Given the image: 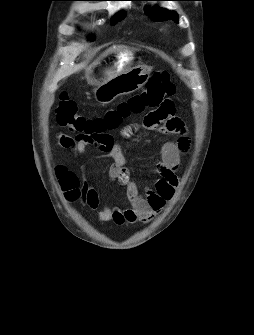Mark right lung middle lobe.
Wrapping results in <instances>:
<instances>
[{
    "mask_svg": "<svg viewBox=\"0 0 254 335\" xmlns=\"http://www.w3.org/2000/svg\"><path fill=\"white\" fill-rule=\"evenodd\" d=\"M122 19H124V14H123V13H119V14H117V15L112 19V25H115L118 21H121Z\"/></svg>",
    "mask_w": 254,
    "mask_h": 335,
    "instance_id": "right-lung-middle-lobe-1",
    "label": "right lung middle lobe"
}]
</instances>
